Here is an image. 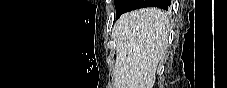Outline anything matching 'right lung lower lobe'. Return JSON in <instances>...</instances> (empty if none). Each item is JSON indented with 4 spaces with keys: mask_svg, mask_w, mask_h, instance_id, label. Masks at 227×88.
<instances>
[{
    "mask_svg": "<svg viewBox=\"0 0 227 88\" xmlns=\"http://www.w3.org/2000/svg\"><path fill=\"white\" fill-rule=\"evenodd\" d=\"M171 4V0H131L125 7V9L117 16L121 14L142 7L155 6L165 10H168V7Z\"/></svg>",
    "mask_w": 227,
    "mask_h": 88,
    "instance_id": "right-lung-lower-lobe-1",
    "label": "right lung lower lobe"
}]
</instances>
